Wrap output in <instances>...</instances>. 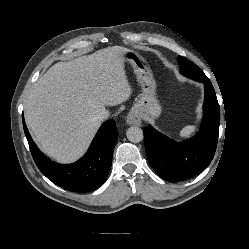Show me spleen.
Instances as JSON below:
<instances>
[{
  "label": "spleen",
  "mask_w": 249,
  "mask_h": 249,
  "mask_svg": "<svg viewBox=\"0 0 249 249\" xmlns=\"http://www.w3.org/2000/svg\"><path fill=\"white\" fill-rule=\"evenodd\" d=\"M195 131V126H186L181 130L180 136L183 138L189 137Z\"/></svg>",
  "instance_id": "obj_1"
}]
</instances>
